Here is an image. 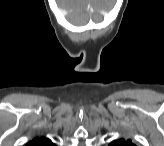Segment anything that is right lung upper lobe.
Instances as JSON below:
<instances>
[{
	"instance_id": "1",
	"label": "right lung upper lobe",
	"mask_w": 164,
	"mask_h": 146,
	"mask_svg": "<svg viewBox=\"0 0 164 146\" xmlns=\"http://www.w3.org/2000/svg\"><path fill=\"white\" fill-rule=\"evenodd\" d=\"M52 142L47 138H39L36 137L32 141H30L27 146H51Z\"/></svg>"
}]
</instances>
